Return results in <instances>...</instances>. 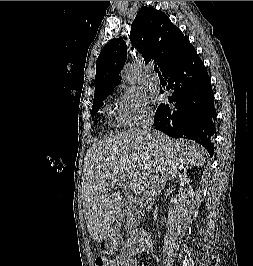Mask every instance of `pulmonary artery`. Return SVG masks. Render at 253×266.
I'll return each mask as SVG.
<instances>
[{
  "label": "pulmonary artery",
  "mask_w": 253,
  "mask_h": 266,
  "mask_svg": "<svg viewBox=\"0 0 253 266\" xmlns=\"http://www.w3.org/2000/svg\"><path fill=\"white\" fill-rule=\"evenodd\" d=\"M147 72H148V78L151 82L153 83H158L159 78L158 76L154 73L153 68L151 66L147 67Z\"/></svg>",
  "instance_id": "e3ab8cb5"
}]
</instances>
